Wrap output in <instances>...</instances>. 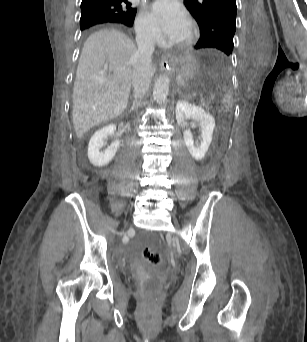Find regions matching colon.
Listing matches in <instances>:
<instances>
[{
  "instance_id": "obj_1",
  "label": "colon",
  "mask_w": 307,
  "mask_h": 342,
  "mask_svg": "<svg viewBox=\"0 0 307 342\" xmlns=\"http://www.w3.org/2000/svg\"><path fill=\"white\" fill-rule=\"evenodd\" d=\"M142 254L143 257L152 264L153 268H164L165 263L162 261L161 255L150 249L149 246H144L142 249ZM148 287L149 288H154L155 287V282L154 281H149L148 282ZM144 301H146V306L147 307H152L153 306V301L155 299L154 294H144L143 296Z\"/></svg>"
}]
</instances>
